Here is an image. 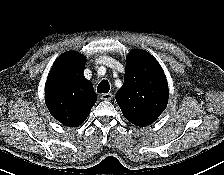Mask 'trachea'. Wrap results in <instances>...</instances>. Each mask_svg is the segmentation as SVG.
I'll use <instances>...</instances> for the list:
<instances>
[{
    "mask_svg": "<svg viewBox=\"0 0 224 175\" xmlns=\"http://www.w3.org/2000/svg\"><path fill=\"white\" fill-rule=\"evenodd\" d=\"M109 89H110V86L107 80H102L97 87L98 93H108Z\"/></svg>",
    "mask_w": 224,
    "mask_h": 175,
    "instance_id": "1",
    "label": "trachea"
}]
</instances>
